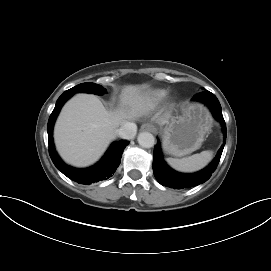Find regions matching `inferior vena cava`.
Segmentation results:
<instances>
[{"instance_id": "602c4592", "label": "inferior vena cava", "mask_w": 271, "mask_h": 271, "mask_svg": "<svg viewBox=\"0 0 271 271\" xmlns=\"http://www.w3.org/2000/svg\"><path fill=\"white\" fill-rule=\"evenodd\" d=\"M136 132L137 126L133 122H126L120 127V129L117 130L119 137L127 140L133 139L136 135Z\"/></svg>"}]
</instances>
